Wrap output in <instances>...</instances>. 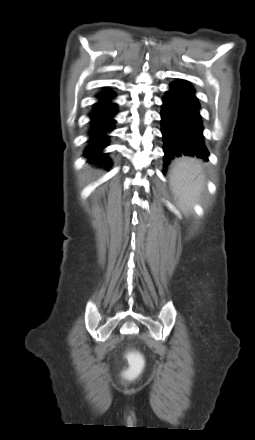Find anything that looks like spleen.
Here are the masks:
<instances>
[{
  "instance_id": "3e777b00",
  "label": "spleen",
  "mask_w": 255,
  "mask_h": 440,
  "mask_svg": "<svg viewBox=\"0 0 255 440\" xmlns=\"http://www.w3.org/2000/svg\"><path fill=\"white\" fill-rule=\"evenodd\" d=\"M201 166L193 158L184 157L175 161L171 170V182L175 194L179 197L182 210L187 213L190 203L196 197L203 184L199 175Z\"/></svg>"
}]
</instances>
